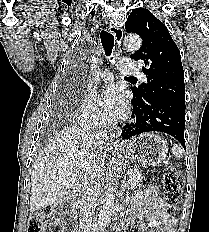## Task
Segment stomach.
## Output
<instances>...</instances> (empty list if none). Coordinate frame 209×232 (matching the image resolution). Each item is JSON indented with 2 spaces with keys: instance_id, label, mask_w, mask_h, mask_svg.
I'll return each mask as SVG.
<instances>
[{
  "instance_id": "obj_1",
  "label": "stomach",
  "mask_w": 209,
  "mask_h": 232,
  "mask_svg": "<svg viewBox=\"0 0 209 232\" xmlns=\"http://www.w3.org/2000/svg\"><path fill=\"white\" fill-rule=\"evenodd\" d=\"M122 154L144 165L159 166L168 153L167 142L154 133H146L135 137L120 146Z\"/></svg>"
}]
</instances>
